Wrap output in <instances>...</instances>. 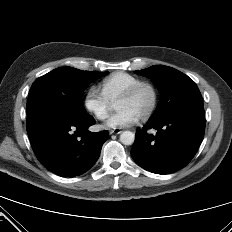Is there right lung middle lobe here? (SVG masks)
Here are the masks:
<instances>
[{"instance_id": "1", "label": "right lung middle lobe", "mask_w": 232, "mask_h": 232, "mask_svg": "<svg viewBox=\"0 0 232 232\" xmlns=\"http://www.w3.org/2000/svg\"><path fill=\"white\" fill-rule=\"evenodd\" d=\"M107 73L82 71L72 67L54 69L32 84L27 113L52 110L74 115L87 114L82 105V94L92 81Z\"/></svg>"}]
</instances>
